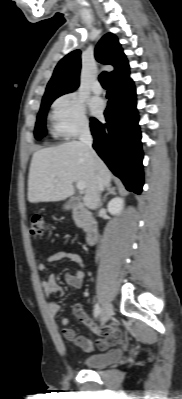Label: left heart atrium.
Here are the masks:
<instances>
[{"label":"left heart atrium","mask_w":182,"mask_h":399,"mask_svg":"<svg viewBox=\"0 0 182 399\" xmlns=\"http://www.w3.org/2000/svg\"><path fill=\"white\" fill-rule=\"evenodd\" d=\"M89 105H90L91 112H92L94 115L100 114L101 111L103 110V103H102V101H101L100 99H98V98L92 99V100L90 101Z\"/></svg>","instance_id":"1"}]
</instances>
